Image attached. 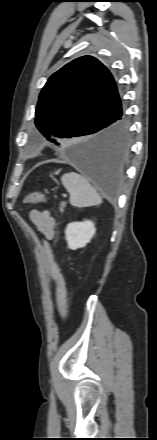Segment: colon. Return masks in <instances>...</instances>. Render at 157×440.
Returning <instances> with one entry per match:
<instances>
[{"instance_id":"5ec220e1","label":"colon","mask_w":157,"mask_h":440,"mask_svg":"<svg viewBox=\"0 0 157 440\" xmlns=\"http://www.w3.org/2000/svg\"><path fill=\"white\" fill-rule=\"evenodd\" d=\"M45 200V196L39 192L30 193L25 198V202L28 204H39L45 202ZM44 252L49 269L56 284L58 310L63 320H66L68 309L66 280L62 274L60 265L55 258L54 250L49 242L44 243Z\"/></svg>"}]
</instances>
